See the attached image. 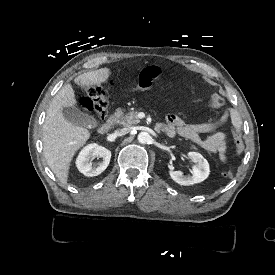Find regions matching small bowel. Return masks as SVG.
I'll return each instance as SVG.
<instances>
[{
    "label": "small bowel",
    "mask_w": 275,
    "mask_h": 275,
    "mask_svg": "<svg viewBox=\"0 0 275 275\" xmlns=\"http://www.w3.org/2000/svg\"><path fill=\"white\" fill-rule=\"evenodd\" d=\"M164 73V70L160 66L150 64L140 72L137 78V84L143 90L148 91L152 87V79L159 78ZM165 78L172 80H187L191 78L190 70H166ZM138 88V91H141ZM130 91H135V88H130ZM123 93V90L117 91V94ZM115 94V91H112ZM230 121L235 129H240L242 120L239 112L234 108H228L223 111L219 117L213 121L202 122V123H187L181 117L177 115H170L166 126L168 127V136H174L176 134L190 140L194 144L198 145L205 151L217 155L221 162H225L226 156V138L223 132L218 131L223 124ZM213 132V134L207 139H201L200 133Z\"/></svg>",
    "instance_id": "c3829d8e"
}]
</instances>
